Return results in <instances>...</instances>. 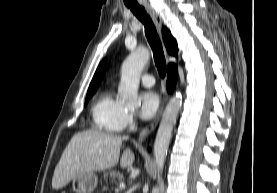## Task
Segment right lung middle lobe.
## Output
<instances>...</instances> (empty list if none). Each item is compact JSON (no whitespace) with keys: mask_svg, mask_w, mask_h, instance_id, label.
<instances>
[{"mask_svg":"<svg viewBox=\"0 0 277 193\" xmlns=\"http://www.w3.org/2000/svg\"><path fill=\"white\" fill-rule=\"evenodd\" d=\"M93 95V93L87 94L86 96V100H85V105L87 104V102L89 101V98Z\"/></svg>","mask_w":277,"mask_h":193,"instance_id":"1","label":"right lung middle lobe"}]
</instances>
